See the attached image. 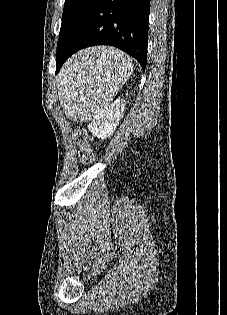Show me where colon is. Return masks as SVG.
Wrapping results in <instances>:
<instances>
[{
    "label": "colon",
    "instance_id": "5ec220e1",
    "mask_svg": "<svg viewBox=\"0 0 227 315\" xmlns=\"http://www.w3.org/2000/svg\"><path fill=\"white\" fill-rule=\"evenodd\" d=\"M74 139L78 147V160L82 165H90L95 161L92 138L86 129L78 127L74 131Z\"/></svg>",
    "mask_w": 227,
    "mask_h": 315
}]
</instances>
